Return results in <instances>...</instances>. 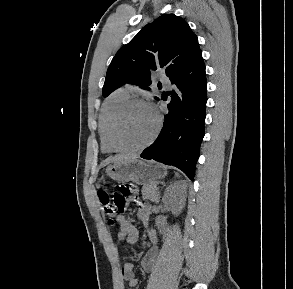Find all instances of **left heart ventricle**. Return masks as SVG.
<instances>
[{
    "label": "left heart ventricle",
    "mask_w": 293,
    "mask_h": 289,
    "mask_svg": "<svg viewBox=\"0 0 293 289\" xmlns=\"http://www.w3.org/2000/svg\"><path fill=\"white\" fill-rule=\"evenodd\" d=\"M156 126V117L152 109L137 104L130 107L118 122L116 136L125 146H138L146 142Z\"/></svg>",
    "instance_id": "obj_1"
}]
</instances>
